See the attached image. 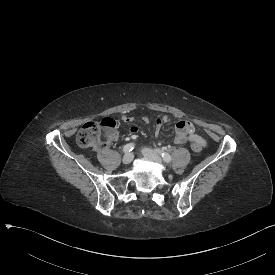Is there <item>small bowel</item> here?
I'll return each instance as SVG.
<instances>
[{
    "label": "small bowel",
    "mask_w": 275,
    "mask_h": 275,
    "mask_svg": "<svg viewBox=\"0 0 275 275\" xmlns=\"http://www.w3.org/2000/svg\"><path fill=\"white\" fill-rule=\"evenodd\" d=\"M121 119L125 123H133L134 118L131 115H122ZM168 121L167 116H163L157 119V124L155 126V136H159L161 132V127L164 123ZM175 136L174 142L176 144H184L186 142H193V141H201L204 143L203 139L196 133V129L194 124L188 120H180L177 122L175 126ZM138 132V128L136 126H132L130 129V133L132 135H136Z\"/></svg>",
    "instance_id": "small-bowel-1"
}]
</instances>
